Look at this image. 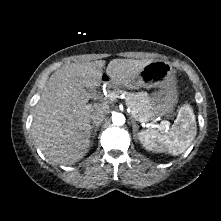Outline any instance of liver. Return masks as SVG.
<instances>
[{
	"label": "liver",
	"instance_id": "obj_1",
	"mask_svg": "<svg viewBox=\"0 0 221 221\" xmlns=\"http://www.w3.org/2000/svg\"><path fill=\"white\" fill-rule=\"evenodd\" d=\"M152 60L113 59L106 75L112 84L133 88L131 81ZM104 60L72 63L55 71L36 104L31 134L38 148L56 164L73 165L89 150L90 115L87 89L100 86Z\"/></svg>",
	"mask_w": 221,
	"mask_h": 221
}]
</instances>
